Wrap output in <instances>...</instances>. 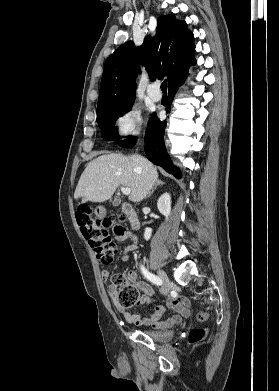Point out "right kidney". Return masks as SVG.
Masks as SVG:
<instances>
[{
	"instance_id": "obj_1",
	"label": "right kidney",
	"mask_w": 279,
	"mask_h": 391,
	"mask_svg": "<svg viewBox=\"0 0 279 391\" xmlns=\"http://www.w3.org/2000/svg\"><path fill=\"white\" fill-rule=\"evenodd\" d=\"M157 207L161 214H163L166 217V220H168V217L170 216L171 212V196L169 193H163L158 201H157ZM152 235V229L147 227L144 231V239L149 240Z\"/></svg>"
}]
</instances>
